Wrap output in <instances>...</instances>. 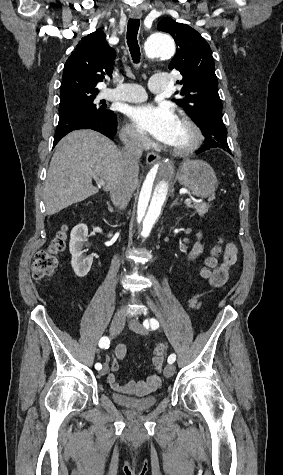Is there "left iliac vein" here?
Listing matches in <instances>:
<instances>
[{"mask_svg":"<svg viewBox=\"0 0 283 475\" xmlns=\"http://www.w3.org/2000/svg\"><path fill=\"white\" fill-rule=\"evenodd\" d=\"M129 327L135 331L136 333H139L141 335H147L148 334V331L147 329L137 320L135 319H130L129 322ZM175 372V366L174 364H168L165 368H164V376L166 378H169L171 377Z\"/></svg>","mask_w":283,"mask_h":475,"instance_id":"1","label":"left iliac vein"}]
</instances>
